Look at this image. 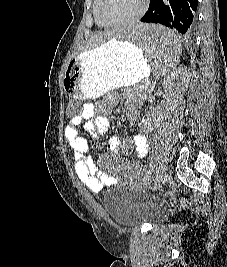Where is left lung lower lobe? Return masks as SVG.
Wrapping results in <instances>:
<instances>
[{"label":"left lung lower lobe","mask_w":227,"mask_h":267,"mask_svg":"<svg viewBox=\"0 0 227 267\" xmlns=\"http://www.w3.org/2000/svg\"><path fill=\"white\" fill-rule=\"evenodd\" d=\"M198 0H150L140 22L165 25L184 37H191L196 26Z\"/></svg>","instance_id":"obj_1"}]
</instances>
